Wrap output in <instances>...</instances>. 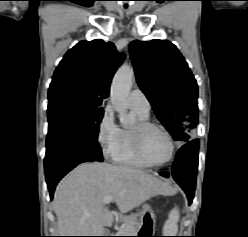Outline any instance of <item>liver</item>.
Instances as JSON below:
<instances>
[{
    "mask_svg": "<svg viewBox=\"0 0 248 237\" xmlns=\"http://www.w3.org/2000/svg\"><path fill=\"white\" fill-rule=\"evenodd\" d=\"M175 192L142 170L108 163H84L58 184L53 200L59 236H103L113 213L104 203L108 195L127 213L156 195Z\"/></svg>",
    "mask_w": 248,
    "mask_h": 237,
    "instance_id": "obj_1",
    "label": "liver"
}]
</instances>
